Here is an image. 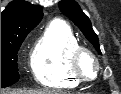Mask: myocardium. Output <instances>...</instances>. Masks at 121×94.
I'll use <instances>...</instances> for the list:
<instances>
[{
  "instance_id": "1",
  "label": "myocardium",
  "mask_w": 121,
  "mask_h": 94,
  "mask_svg": "<svg viewBox=\"0 0 121 94\" xmlns=\"http://www.w3.org/2000/svg\"><path fill=\"white\" fill-rule=\"evenodd\" d=\"M85 56L91 58L92 61L94 62L95 75H97L101 69L100 62L97 59V57L95 56V54L88 48L80 45L72 52V54L70 56V70L78 82H87V81L94 80V77H92V75L88 76V75L84 74L81 69V60Z\"/></svg>"
}]
</instances>
